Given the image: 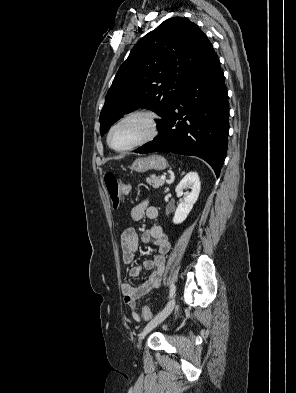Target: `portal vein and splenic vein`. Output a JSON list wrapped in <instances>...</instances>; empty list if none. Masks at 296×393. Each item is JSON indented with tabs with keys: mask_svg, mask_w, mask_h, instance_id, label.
<instances>
[{
	"mask_svg": "<svg viewBox=\"0 0 296 393\" xmlns=\"http://www.w3.org/2000/svg\"><path fill=\"white\" fill-rule=\"evenodd\" d=\"M161 179H162V180H165V179H166V176H165V175H162V176H161Z\"/></svg>",
	"mask_w": 296,
	"mask_h": 393,
	"instance_id": "18ae733b",
	"label": "portal vein and splenic vein"
}]
</instances>
